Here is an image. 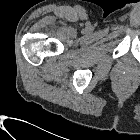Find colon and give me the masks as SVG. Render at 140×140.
<instances>
[{
	"mask_svg": "<svg viewBox=\"0 0 140 140\" xmlns=\"http://www.w3.org/2000/svg\"><path fill=\"white\" fill-rule=\"evenodd\" d=\"M129 83L127 81H119L117 87L120 91H125L128 89Z\"/></svg>",
	"mask_w": 140,
	"mask_h": 140,
	"instance_id": "colon-1",
	"label": "colon"
}]
</instances>
